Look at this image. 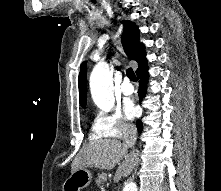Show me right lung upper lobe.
<instances>
[{
	"mask_svg": "<svg viewBox=\"0 0 221 191\" xmlns=\"http://www.w3.org/2000/svg\"><path fill=\"white\" fill-rule=\"evenodd\" d=\"M124 26L121 42L124 46V50L130 60H134L138 63L139 67L136 73L147 65L146 52L144 44L139 42V30L136 25L127 20H123ZM87 67L84 62L81 65L79 73V94H80V105L85 108L87 98Z\"/></svg>",
	"mask_w": 221,
	"mask_h": 191,
	"instance_id": "cb5924a9",
	"label": "right lung upper lobe"
}]
</instances>
